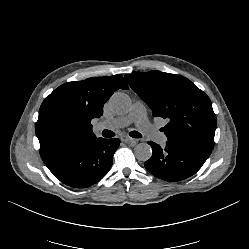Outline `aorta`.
Returning <instances> with one entry per match:
<instances>
[{
  "mask_svg": "<svg viewBox=\"0 0 249 249\" xmlns=\"http://www.w3.org/2000/svg\"><path fill=\"white\" fill-rule=\"evenodd\" d=\"M131 105L129 96L122 92L114 93L109 100V107L119 115L128 113ZM134 154L139 161H147L152 156V148L148 143H139L135 147Z\"/></svg>",
  "mask_w": 249,
  "mask_h": 249,
  "instance_id": "aorta-1",
  "label": "aorta"
}]
</instances>
